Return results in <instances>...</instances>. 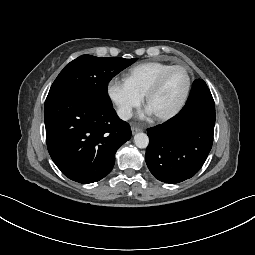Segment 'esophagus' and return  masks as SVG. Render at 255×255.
I'll list each match as a JSON object with an SVG mask.
<instances>
[{
  "label": "esophagus",
  "mask_w": 255,
  "mask_h": 255,
  "mask_svg": "<svg viewBox=\"0 0 255 255\" xmlns=\"http://www.w3.org/2000/svg\"><path fill=\"white\" fill-rule=\"evenodd\" d=\"M131 131H132V134H135V133H137V132H140L141 129L138 128V127L133 126V127L131 128Z\"/></svg>",
  "instance_id": "esophagus-1"
}]
</instances>
